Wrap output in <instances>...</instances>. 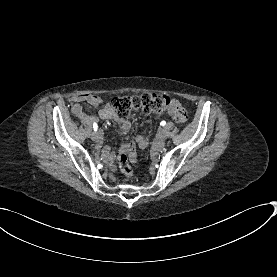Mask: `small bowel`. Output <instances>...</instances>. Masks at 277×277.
<instances>
[{"label": "small bowel", "mask_w": 277, "mask_h": 277, "mask_svg": "<svg viewBox=\"0 0 277 277\" xmlns=\"http://www.w3.org/2000/svg\"><path fill=\"white\" fill-rule=\"evenodd\" d=\"M81 100H88L94 106H98L102 103V100L97 96H90L89 93H81L80 96L74 98V105L72 106V113L83 122H90L92 117L84 112L82 106L79 104ZM181 109V104L178 100H172L170 103V114L174 115L177 110ZM99 118L102 120L115 121L118 126V131L121 137H125L131 130V122L126 118H120L113 106L110 103H106L98 112ZM137 141L142 148H145L148 144V138L144 133L137 136ZM126 143L133 144V140H126ZM102 154L105 155L108 162L113 163L116 160L114 152L110 151L109 147L104 146L101 149Z\"/></svg>", "instance_id": "1"}]
</instances>
